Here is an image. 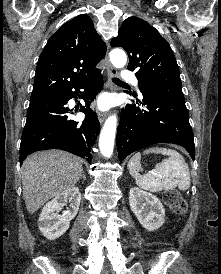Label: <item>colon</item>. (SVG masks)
I'll list each match as a JSON object with an SVG mask.
<instances>
[{
    "mask_svg": "<svg viewBox=\"0 0 221 274\" xmlns=\"http://www.w3.org/2000/svg\"><path fill=\"white\" fill-rule=\"evenodd\" d=\"M162 198L164 203L169 206L174 213L179 215L186 213L187 202L178 191H165L162 195Z\"/></svg>",
    "mask_w": 221,
    "mask_h": 274,
    "instance_id": "5ec220e1",
    "label": "colon"
}]
</instances>
